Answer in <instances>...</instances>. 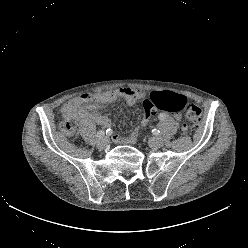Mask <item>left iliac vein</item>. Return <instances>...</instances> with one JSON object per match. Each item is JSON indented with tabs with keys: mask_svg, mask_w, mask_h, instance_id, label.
<instances>
[{
	"mask_svg": "<svg viewBox=\"0 0 248 248\" xmlns=\"http://www.w3.org/2000/svg\"><path fill=\"white\" fill-rule=\"evenodd\" d=\"M149 144L152 148H160L163 146L164 141L162 139V137L156 136V137H152L149 141Z\"/></svg>",
	"mask_w": 248,
	"mask_h": 248,
	"instance_id": "1",
	"label": "left iliac vein"
}]
</instances>
